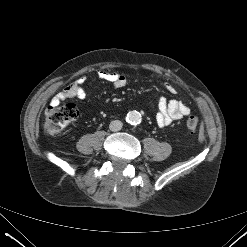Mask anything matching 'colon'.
<instances>
[{"mask_svg":"<svg viewBox=\"0 0 247 247\" xmlns=\"http://www.w3.org/2000/svg\"><path fill=\"white\" fill-rule=\"evenodd\" d=\"M78 116L77 108L74 104H55L49 105L45 111L44 129L47 134L55 136L62 132ZM199 119L192 114L186 121L188 132L194 133L198 127Z\"/></svg>","mask_w":247,"mask_h":247,"instance_id":"obj_1","label":"colon"}]
</instances>
